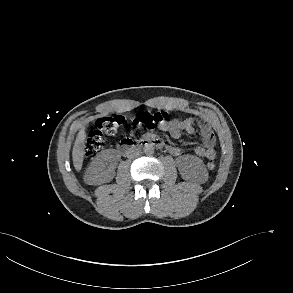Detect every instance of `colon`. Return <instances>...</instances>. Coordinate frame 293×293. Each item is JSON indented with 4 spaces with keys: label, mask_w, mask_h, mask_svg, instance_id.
Returning a JSON list of instances; mask_svg holds the SVG:
<instances>
[{
    "label": "colon",
    "mask_w": 293,
    "mask_h": 293,
    "mask_svg": "<svg viewBox=\"0 0 293 293\" xmlns=\"http://www.w3.org/2000/svg\"><path fill=\"white\" fill-rule=\"evenodd\" d=\"M168 117L169 114L166 111H142L133 117L132 122L141 129L152 130L167 122ZM122 124L123 117L121 115H108L99 118L86 140V155L91 158L98 155L104 147V135L116 133ZM207 168L213 170L215 163H208Z\"/></svg>",
    "instance_id": "5ec220e1"
}]
</instances>
